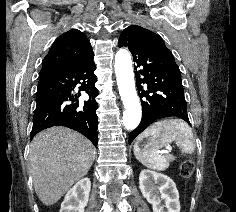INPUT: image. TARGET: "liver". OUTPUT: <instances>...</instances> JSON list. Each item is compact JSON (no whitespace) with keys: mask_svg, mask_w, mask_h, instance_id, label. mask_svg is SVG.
Instances as JSON below:
<instances>
[{"mask_svg":"<svg viewBox=\"0 0 236 212\" xmlns=\"http://www.w3.org/2000/svg\"><path fill=\"white\" fill-rule=\"evenodd\" d=\"M94 145L80 133L57 126L37 134L29 162L35 192L46 206L56 203L82 179L95 159Z\"/></svg>","mask_w":236,"mask_h":212,"instance_id":"obj_1","label":"liver"}]
</instances>
